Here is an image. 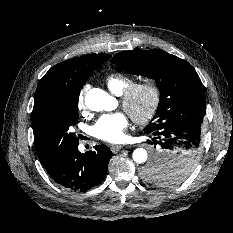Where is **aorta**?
I'll use <instances>...</instances> for the list:
<instances>
[{
    "mask_svg": "<svg viewBox=\"0 0 233 233\" xmlns=\"http://www.w3.org/2000/svg\"><path fill=\"white\" fill-rule=\"evenodd\" d=\"M85 105L92 111H112L116 108L117 101L102 89L93 88L85 96ZM160 155L163 162L168 159V154L161 153ZM132 157L135 162L144 163L148 158L147 151L143 148H137L133 151Z\"/></svg>",
    "mask_w": 233,
    "mask_h": 233,
    "instance_id": "obj_1",
    "label": "aorta"
}]
</instances>
